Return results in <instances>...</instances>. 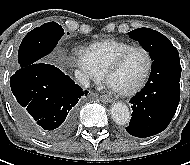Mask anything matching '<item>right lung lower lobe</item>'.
<instances>
[{
  "instance_id": "right-lung-lower-lobe-1",
  "label": "right lung lower lobe",
  "mask_w": 190,
  "mask_h": 165,
  "mask_svg": "<svg viewBox=\"0 0 190 165\" xmlns=\"http://www.w3.org/2000/svg\"><path fill=\"white\" fill-rule=\"evenodd\" d=\"M13 108L22 125L50 140L67 137L75 127L77 103L88 91L57 67L37 62L10 78Z\"/></svg>"
}]
</instances>
